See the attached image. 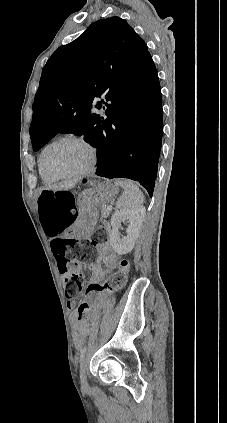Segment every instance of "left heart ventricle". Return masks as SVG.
<instances>
[{"label": "left heart ventricle", "mask_w": 227, "mask_h": 423, "mask_svg": "<svg viewBox=\"0 0 227 423\" xmlns=\"http://www.w3.org/2000/svg\"><path fill=\"white\" fill-rule=\"evenodd\" d=\"M90 161L89 150L78 142H66L55 148L48 156L49 166L57 172L76 174Z\"/></svg>", "instance_id": "1"}]
</instances>
